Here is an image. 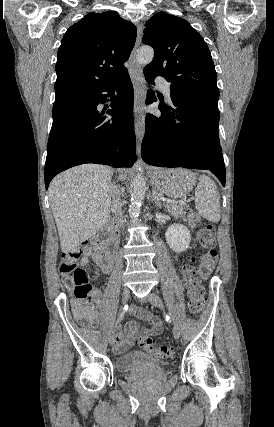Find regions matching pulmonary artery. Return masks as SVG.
<instances>
[{
  "instance_id": "pulmonary-artery-1",
  "label": "pulmonary artery",
  "mask_w": 274,
  "mask_h": 427,
  "mask_svg": "<svg viewBox=\"0 0 274 427\" xmlns=\"http://www.w3.org/2000/svg\"><path fill=\"white\" fill-rule=\"evenodd\" d=\"M158 82H161V79H158ZM166 99L168 101H171V90H170V86L168 83L164 82L160 85Z\"/></svg>"
}]
</instances>
